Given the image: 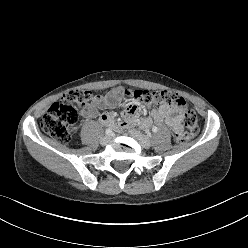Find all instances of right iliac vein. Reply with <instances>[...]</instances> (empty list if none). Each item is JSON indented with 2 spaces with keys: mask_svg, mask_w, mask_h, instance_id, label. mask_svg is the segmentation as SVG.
Wrapping results in <instances>:
<instances>
[{
  "mask_svg": "<svg viewBox=\"0 0 248 248\" xmlns=\"http://www.w3.org/2000/svg\"><path fill=\"white\" fill-rule=\"evenodd\" d=\"M111 140V137L110 136H104L101 138L100 140V144L101 145H107Z\"/></svg>",
  "mask_w": 248,
  "mask_h": 248,
  "instance_id": "63e3f726",
  "label": "right iliac vein"
}]
</instances>
